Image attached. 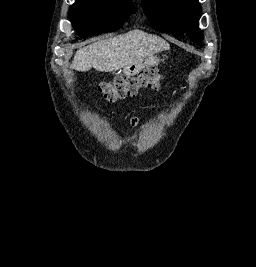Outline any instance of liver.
<instances>
[{"instance_id":"obj_1","label":"liver","mask_w":256,"mask_h":267,"mask_svg":"<svg viewBox=\"0 0 256 267\" xmlns=\"http://www.w3.org/2000/svg\"><path fill=\"white\" fill-rule=\"evenodd\" d=\"M164 50H170L166 40L141 30H132L79 48L70 68L78 72H88L91 68L98 72H117Z\"/></svg>"}]
</instances>
